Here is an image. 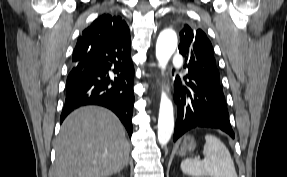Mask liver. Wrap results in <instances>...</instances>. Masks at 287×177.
Instances as JSON below:
<instances>
[{
	"label": "liver",
	"instance_id": "1",
	"mask_svg": "<svg viewBox=\"0 0 287 177\" xmlns=\"http://www.w3.org/2000/svg\"><path fill=\"white\" fill-rule=\"evenodd\" d=\"M55 150L52 177H105L127 165L130 145L115 114L86 106L64 120Z\"/></svg>",
	"mask_w": 287,
	"mask_h": 177
}]
</instances>
